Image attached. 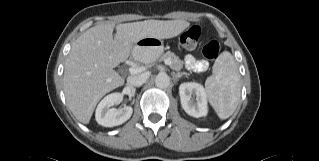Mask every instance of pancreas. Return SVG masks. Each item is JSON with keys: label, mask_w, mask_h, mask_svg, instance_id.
Listing matches in <instances>:
<instances>
[{"label": "pancreas", "mask_w": 319, "mask_h": 161, "mask_svg": "<svg viewBox=\"0 0 319 161\" xmlns=\"http://www.w3.org/2000/svg\"><path fill=\"white\" fill-rule=\"evenodd\" d=\"M159 61H165V60H170L171 65L170 67L173 70L179 71L183 68L184 62L180 60V58L173 52L168 51L166 53H163L159 58Z\"/></svg>", "instance_id": "pancreas-1"}]
</instances>
